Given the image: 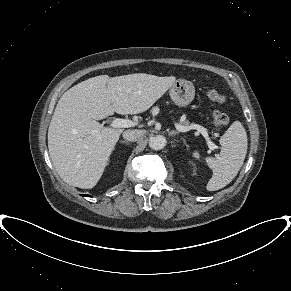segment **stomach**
<instances>
[{"label": "stomach", "instance_id": "stomach-1", "mask_svg": "<svg viewBox=\"0 0 291 291\" xmlns=\"http://www.w3.org/2000/svg\"><path fill=\"white\" fill-rule=\"evenodd\" d=\"M169 95L177 106L186 107L195 97V87L191 81L179 79L171 85Z\"/></svg>", "mask_w": 291, "mask_h": 291}]
</instances>
